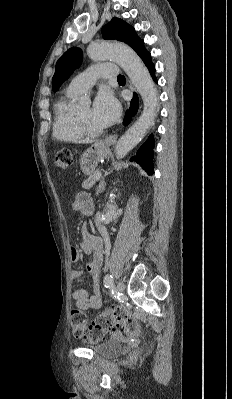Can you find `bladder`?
Returning a JSON list of instances; mask_svg holds the SVG:
<instances>
[{
    "label": "bladder",
    "instance_id": "1",
    "mask_svg": "<svg viewBox=\"0 0 232 399\" xmlns=\"http://www.w3.org/2000/svg\"><path fill=\"white\" fill-rule=\"evenodd\" d=\"M122 352V347L117 340L110 339L94 347V353L100 357H115Z\"/></svg>",
    "mask_w": 232,
    "mask_h": 399
}]
</instances>
